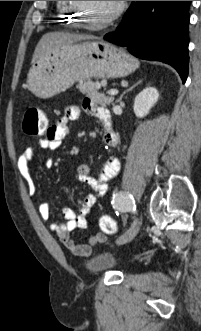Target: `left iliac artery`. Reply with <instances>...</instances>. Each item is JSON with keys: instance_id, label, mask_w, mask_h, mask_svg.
<instances>
[{"instance_id": "1", "label": "left iliac artery", "mask_w": 201, "mask_h": 331, "mask_svg": "<svg viewBox=\"0 0 201 331\" xmlns=\"http://www.w3.org/2000/svg\"><path fill=\"white\" fill-rule=\"evenodd\" d=\"M113 207L125 214L127 212L136 213L135 201L131 194L119 192L114 195L112 201ZM118 214V212H116Z\"/></svg>"}]
</instances>
